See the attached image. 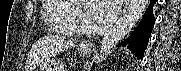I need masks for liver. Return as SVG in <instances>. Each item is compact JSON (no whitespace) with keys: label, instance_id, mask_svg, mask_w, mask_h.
<instances>
[{"label":"liver","instance_id":"liver-1","mask_svg":"<svg viewBox=\"0 0 181 71\" xmlns=\"http://www.w3.org/2000/svg\"><path fill=\"white\" fill-rule=\"evenodd\" d=\"M73 46V41L64 37H44L42 40H39L30 51V54L28 55V62L25 68L26 71L34 69L35 65L41 62L44 58L70 49Z\"/></svg>","mask_w":181,"mask_h":71}]
</instances>
